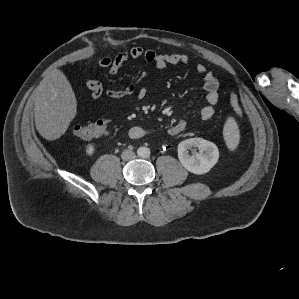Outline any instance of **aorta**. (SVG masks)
<instances>
[{"instance_id": "obj_1", "label": "aorta", "mask_w": 299, "mask_h": 299, "mask_svg": "<svg viewBox=\"0 0 299 299\" xmlns=\"http://www.w3.org/2000/svg\"><path fill=\"white\" fill-rule=\"evenodd\" d=\"M137 154H138V156H140V157L147 158V157L150 156V149L147 148V147H140V148L137 150Z\"/></svg>"}]
</instances>
